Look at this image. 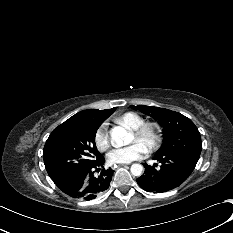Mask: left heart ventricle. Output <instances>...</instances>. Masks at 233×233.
I'll return each mask as SVG.
<instances>
[{
  "instance_id": "obj_1",
  "label": "left heart ventricle",
  "mask_w": 233,
  "mask_h": 233,
  "mask_svg": "<svg viewBox=\"0 0 233 233\" xmlns=\"http://www.w3.org/2000/svg\"><path fill=\"white\" fill-rule=\"evenodd\" d=\"M150 139H151V135H149V136H147L146 138H143V139H138V138L135 137L134 134H131L130 142H139L146 148L147 145H148V142L150 141Z\"/></svg>"
}]
</instances>
